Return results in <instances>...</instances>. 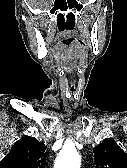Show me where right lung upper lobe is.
Listing matches in <instances>:
<instances>
[{"label": "right lung upper lobe", "instance_id": "obj_1", "mask_svg": "<svg viewBox=\"0 0 127 168\" xmlns=\"http://www.w3.org/2000/svg\"><path fill=\"white\" fill-rule=\"evenodd\" d=\"M45 144L34 137L18 140L0 161V168H45Z\"/></svg>", "mask_w": 127, "mask_h": 168}]
</instances>
